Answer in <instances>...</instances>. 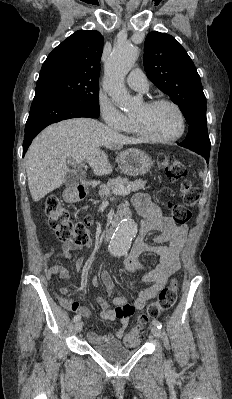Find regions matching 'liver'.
Returning <instances> with one entry per match:
<instances>
[{
	"label": "liver",
	"mask_w": 232,
	"mask_h": 399,
	"mask_svg": "<svg viewBox=\"0 0 232 399\" xmlns=\"http://www.w3.org/2000/svg\"><path fill=\"white\" fill-rule=\"evenodd\" d=\"M124 144L138 142L90 118H73L48 126L33 140L25 156L32 200L39 201L64 184L71 158L86 160L95 176H108L112 166L101 148L122 150Z\"/></svg>",
	"instance_id": "liver-1"
}]
</instances>
